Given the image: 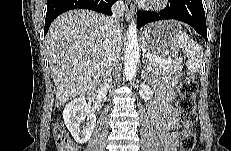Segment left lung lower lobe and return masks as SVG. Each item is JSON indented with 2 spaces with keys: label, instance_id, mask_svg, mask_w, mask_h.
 Returning <instances> with one entry per match:
<instances>
[{
  "label": "left lung lower lobe",
  "instance_id": "obj_1",
  "mask_svg": "<svg viewBox=\"0 0 231 151\" xmlns=\"http://www.w3.org/2000/svg\"><path fill=\"white\" fill-rule=\"evenodd\" d=\"M165 19H175L189 24L204 37L207 43V27L202 0H180L177 6H167L160 13L139 11L137 27L139 29L147 23Z\"/></svg>",
  "mask_w": 231,
  "mask_h": 151
}]
</instances>
